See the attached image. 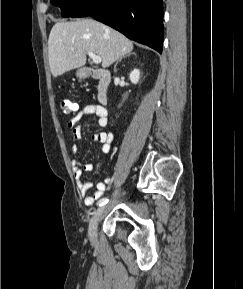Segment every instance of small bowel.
Here are the masks:
<instances>
[{
    "label": "small bowel",
    "mask_w": 243,
    "mask_h": 289,
    "mask_svg": "<svg viewBox=\"0 0 243 289\" xmlns=\"http://www.w3.org/2000/svg\"><path fill=\"white\" fill-rule=\"evenodd\" d=\"M89 115H95L97 117V122L100 127L104 128L107 126L108 117L106 109L98 104H86L68 123V128L72 132L74 141L81 139L82 132L80 121ZM92 139L93 141L100 143L101 152L107 154L111 151L114 134L112 132L102 131L93 134ZM78 151V146L74 144L72 146V152L76 154ZM71 169L76 180L78 192L83 198L84 204L87 206H92L96 201L101 200L112 180L108 178L105 181L98 182L96 184L95 192L92 195H88L87 193L88 190L92 187V183L82 179V171H92L93 165L91 163L81 164L78 160L73 159L71 161Z\"/></svg>",
    "instance_id": "small-bowel-1"
}]
</instances>
